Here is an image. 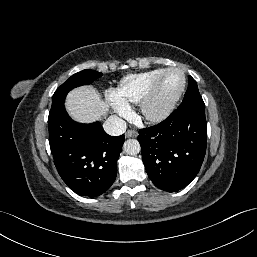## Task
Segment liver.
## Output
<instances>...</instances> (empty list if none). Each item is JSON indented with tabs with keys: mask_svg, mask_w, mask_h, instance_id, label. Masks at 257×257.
<instances>
[{
	"mask_svg": "<svg viewBox=\"0 0 257 257\" xmlns=\"http://www.w3.org/2000/svg\"><path fill=\"white\" fill-rule=\"evenodd\" d=\"M65 108L71 118L79 123L94 122L109 111V105L92 86L79 87L69 92Z\"/></svg>",
	"mask_w": 257,
	"mask_h": 257,
	"instance_id": "1",
	"label": "liver"
}]
</instances>
